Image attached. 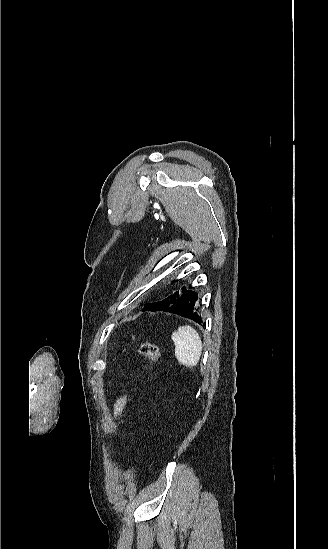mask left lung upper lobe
<instances>
[{"mask_svg":"<svg viewBox=\"0 0 328 549\" xmlns=\"http://www.w3.org/2000/svg\"><path fill=\"white\" fill-rule=\"evenodd\" d=\"M177 296H178V292H176V293L173 294V295H170V296H169L168 298H166L165 300H166V301H169V300H171V299L174 300V299L177 298Z\"/></svg>","mask_w":328,"mask_h":549,"instance_id":"left-lung-upper-lobe-1","label":"left lung upper lobe"}]
</instances>
